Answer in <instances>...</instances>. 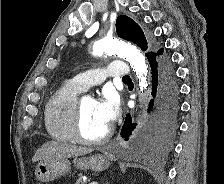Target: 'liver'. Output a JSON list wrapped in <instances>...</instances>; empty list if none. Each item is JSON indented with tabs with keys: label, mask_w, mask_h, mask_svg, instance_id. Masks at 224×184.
Masks as SVG:
<instances>
[{
	"label": "liver",
	"mask_w": 224,
	"mask_h": 184,
	"mask_svg": "<svg viewBox=\"0 0 224 184\" xmlns=\"http://www.w3.org/2000/svg\"><path fill=\"white\" fill-rule=\"evenodd\" d=\"M93 149L81 146L71 145L68 143H61L56 141H49L43 144L35 153L32 162L48 161L55 159H63L74 156L85 155L91 153Z\"/></svg>",
	"instance_id": "obj_1"
}]
</instances>
